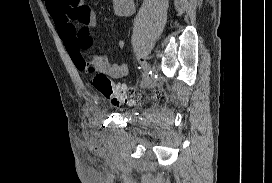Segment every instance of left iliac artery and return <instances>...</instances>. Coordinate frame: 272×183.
Wrapping results in <instances>:
<instances>
[{"label": "left iliac artery", "mask_w": 272, "mask_h": 183, "mask_svg": "<svg viewBox=\"0 0 272 183\" xmlns=\"http://www.w3.org/2000/svg\"><path fill=\"white\" fill-rule=\"evenodd\" d=\"M140 65L141 67L143 68V77L146 78V77H149V75L152 74V71L150 69V64L147 63L146 61H140Z\"/></svg>", "instance_id": "left-iliac-artery-1"}]
</instances>
